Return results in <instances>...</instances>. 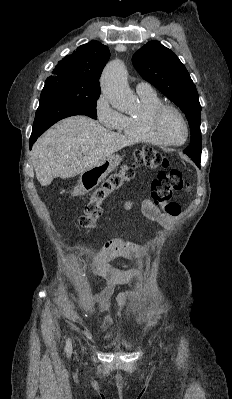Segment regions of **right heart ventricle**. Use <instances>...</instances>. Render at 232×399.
Masks as SVG:
<instances>
[{
	"mask_svg": "<svg viewBox=\"0 0 232 399\" xmlns=\"http://www.w3.org/2000/svg\"><path fill=\"white\" fill-rule=\"evenodd\" d=\"M141 112L138 115H122L116 126L117 133L132 143L166 148L168 145L156 139L148 129V116L164 103L155 95H140Z\"/></svg>",
	"mask_w": 232,
	"mask_h": 399,
	"instance_id": "e07e8e85",
	"label": "right heart ventricle"
}]
</instances>
